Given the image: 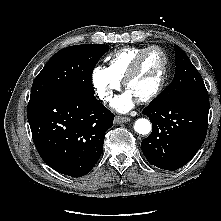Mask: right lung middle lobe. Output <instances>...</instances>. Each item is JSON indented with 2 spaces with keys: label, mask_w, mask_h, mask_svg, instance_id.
<instances>
[{
  "label": "right lung middle lobe",
  "mask_w": 221,
  "mask_h": 221,
  "mask_svg": "<svg viewBox=\"0 0 221 221\" xmlns=\"http://www.w3.org/2000/svg\"><path fill=\"white\" fill-rule=\"evenodd\" d=\"M108 45H75L58 51L35 78L30 100L50 95L94 94L92 72Z\"/></svg>",
  "instance_id": "1"
}]
</instances>
